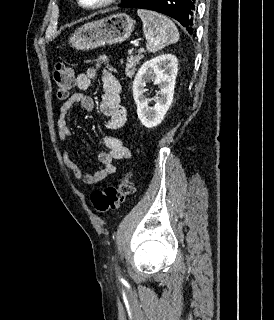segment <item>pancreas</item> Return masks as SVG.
I'll return each mask as SVG.
<instances>
[{
    "label": "pancreas",
    "mask_w": 274,
    "mask_h": 320,
    "mask_svg": "<svg viewBox=\"0 0 274 320\" xmlns=\"http://www.w3.org/2000/svg\"><path fill=\"white\" fill-rule=\"evenodd\" d=\"M144 58V52H137V54H128L127 56V62H126V68H125V74L128 76V78H132L135 74L136 66L137 64H140V60H143Z\"/></svg>",
    "instance_id": "cf45deb5"
}]
</instances>
